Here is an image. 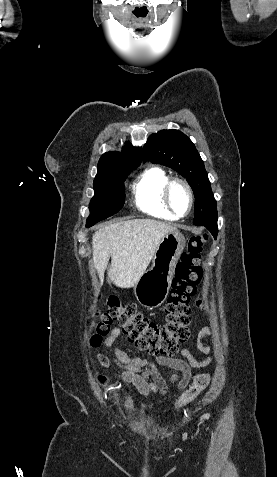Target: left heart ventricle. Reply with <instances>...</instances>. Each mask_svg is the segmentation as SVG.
Instances as JSON below:
<instances>
[{
	"instance_id": "b2bd125f",
	"label": "left heart ventricle",
	"mask_w": 277,
	"mask_h": 477,
	"mask_svg": "<svg viewBox=\"0 0 277 477\" xmlns=\"http://www.w3.org/2000/svg\"><path fill=\"white\" fill-rule=\"evenodd\" d=\"M171 202L179 214H185L189 207V197L182 185H175L171 190Z\"/></svg>"
}]
</instances>
